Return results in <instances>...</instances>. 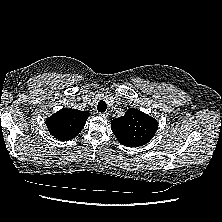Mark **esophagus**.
<instances>
[{"instance_id":"obj_1","label":"esophagus","mask_w":222,"mask_h":222,"mask_svg":"<svg viewBox=\"0 0 222 222\" xmlns=\"http://www.w3.org/2000/svg\"><path fill=\"white\" fill-rule=\"evenodd\" d=\"M99 116L102 117V118H107L108 113H99Z\"/></svg>"}]
</instances>
